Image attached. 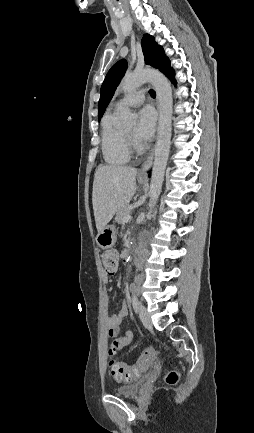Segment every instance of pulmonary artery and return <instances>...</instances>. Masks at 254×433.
I'll use <instances>...</instances> for the list:
<instances>
[{"label": "pulmonary artery", "mask_w": 254, "mask_h": 433, "mask_svg": "<svg viewBox=\"0 0 254 433\" xmlns=\"http://www.w3.org/2000/svg\"><path fill=\"white\" fill-rule=\"evenodd\" d=\"M145 99V90H134L120 99L117 103L118 106H139Z\"/></svg>", "instance_id": "1"}]
</instances>
